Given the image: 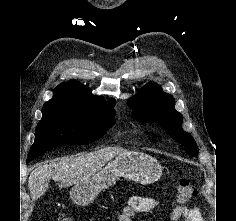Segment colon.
Listing matches in <instances>:
<instances>
[{"instance_id":"5ec220e1","label":"colon","mask_w":236,"mask_h":221,"mask_svg":"<svg viewBox=\"0 0 236 221\" xmlns=\"http://www.w3.org/2000/svg\"><path fill=\"white\" fill-rule=\"evenodd\" d=\"M177 200L179 203H187L196 199L198 192L196 188L186 179L178 181L176 185ZM58 221H73L71 217L67 215H60Z\"/></svg>"}]
</instances>
